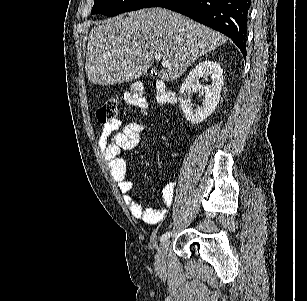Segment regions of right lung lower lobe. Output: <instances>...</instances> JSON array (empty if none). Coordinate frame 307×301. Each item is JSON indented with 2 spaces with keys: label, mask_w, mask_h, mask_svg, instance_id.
I'll list each match as a JSON object with an SVG mask.
<instances>
[{
  "label": "right lung lower lobe",
  "mask_w": 307,
  "mask_h": 301,
  "mask_svg": "<svg viewBox=\"0 0 307 301\" xmlns=\"http://www.w3.org/2000/svg\"><path fill=\"white\" fill-rule=\"evenodd\" d=\"M251 0H152L144 8L163 7L224 33L246 57Z\"/></svg>",
  "instance_id": "1"
}]
</instances>
